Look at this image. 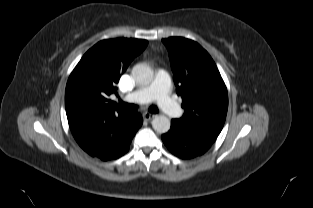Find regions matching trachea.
<instances>
[{
    "mask_svg": "<svg viewBox=\"0 0 313 208\" xmlns=\"http://www.w3.org/2000/svg\"><path fill=\"white\" fill-rule=\"evenodd\" d=\"M123 107H125L126 109H129V110H137L138 109V106L135 105V104H131V103H126V102H123L122 100H120L119 102ZM149 112L151 113H158L159 110L156 106H150L149 107Z\"/></svg>",
    "mask_w": 313,
    "mask_h": 208,
    "instance_id": "trachea-1",
    "label": "trachea"
}]
</instances>
